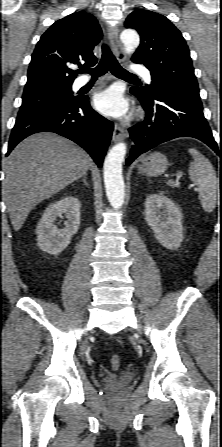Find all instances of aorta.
<instances>
[{
	"mask_svg": "<svg viewBox=\"0 0 222 447\" xmlns=\"http://www.w3.org/2000/svg\"><path fill=\"white\" fill-rule=\"evenodd\" d=\"M127 54H132L139 46L138 33L132 29L124 30L120 35ZM126 144L114 145L104 161V184L109 203L114 208H121L125 198V185L122 175V163L126 154Z\"/></svg>",
	"mask_w": 222,
	"mask_h": 447,
	"instance_id": "762f6f07",
	"label": "aorta"
}]
</instances>
